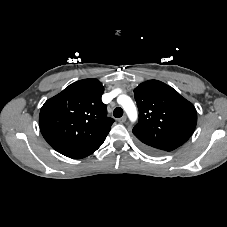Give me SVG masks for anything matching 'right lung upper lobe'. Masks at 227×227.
I'll use <instances>...</instances> for the list:
<instances>
[{"instance_id": "right-lung-upper-lobe-1", "label": "right lung upper lobe", "mask_w": 227, "mask_h": 227, "mask_svg": "<svg viewBox=\"0 0 227 227\" xmlns=\"http://www.w3.org/2000/svg\"><path fill=\"white\" fill-rule=\"evenodd\" d=\"M103 92L99 80L83 79L44 103L39 115L40 131L53 149L80 159L103 144L114 122L101 100Z\"/></svg>"}]
</instances>
